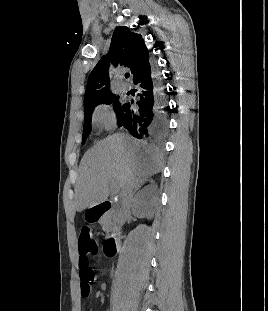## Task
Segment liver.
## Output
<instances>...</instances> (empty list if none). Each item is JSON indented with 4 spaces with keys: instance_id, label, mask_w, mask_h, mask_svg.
Segmentation results:
<instances>
[{
    "instance_id": "1",
    "label": "liver",
    "mask_w": 268,
    "mask_h": 311,
    "mask_svg": "<svg viewBox=\"0 0 268 311\" xmlns=\"http://www.w3.org/2000/svg\"><path fill=\"white\" fill-rule=\"evenodd\" d=\"M161 167L160 156L138 140L125 134L108 136L80 162L75 209L82 212L106 201L112 182L122 192L127 187L137 188Z\"/></svg>"
}]
</instances>
